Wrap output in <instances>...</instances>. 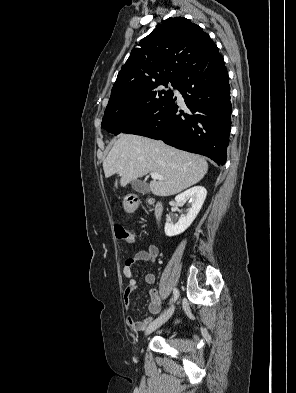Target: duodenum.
I'll return each instance as SVG.
<instances>
[{
    "mask_svg": "<svg viewBox=\"0 0 296 393\" xmlns=\"http://www.w3.org/2000/svg\"><path fill=\"white\" fill-rule=\"evenodd\" d=\"M127 201H128V204L132 208H134L136 206V204H137V199L135 197H133V196L128 197ZM161 213H162V206H161V204L158 203L155 206V218H156L157 221L160 219Z\"/></svg>",
    "mask_w": 296,
    "mask_h": 393,
    "instance_id": "duodenum-1",
    "label": "duodenum"
}]
</instances>
